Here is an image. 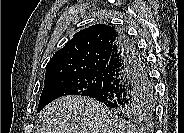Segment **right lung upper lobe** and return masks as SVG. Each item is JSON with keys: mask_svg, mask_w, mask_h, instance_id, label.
I'll list each match as a JSON object with an SVG mask.
<instances>
[{"mask_svg": "<svg viewBox=\"0 0 184 133\" xmlns=\"http://www.w3.org/2000/svg\"><path fill=\"white\" fill-rule=\"evenodd\" d=\"M119 38L120 33L105 24L77 32L48 62L44 84L65 77L103 74Z\"/></svg>", "mask_w": 184, "mask_h": 133, "instance_id": "obj_1", "label": "right lung upper lobe"}]
</instances>
